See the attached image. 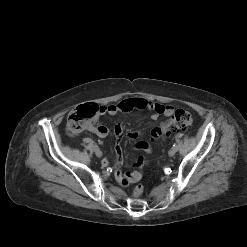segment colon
<instances>
[{
	"label": "colon",
	"mask_w": 247,
	"mask_h": 247,
	"mask_svg": "<svg viewBox=\"0 0 247 247\" xmlns=\"http://www.w3.org/2000/svg\"><path fill=\"white\" fill-rule=\"evenodd\" d=\"M100 113V107L96 104H83L73 109L67 118V131L70 135H77L89 128ZM193 124V115L183 109L175 111L173 117L164 123L162 126L155 128L152 131V137L157 139L161 136H169L172 133L185 131ZM143 192V186L138 185L135 190V195H140Z\"/></svg>",
	"instance_id": "obj_1"
}]
</instances>
